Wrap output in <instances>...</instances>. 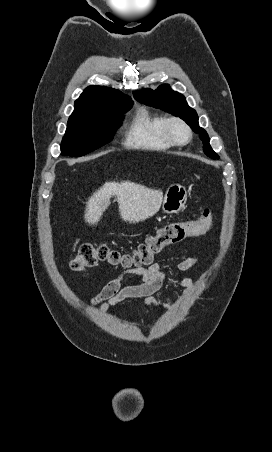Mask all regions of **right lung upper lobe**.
Wrapping results in <instances>:
<instances>
[{"instance_id":"1","label":"right lung upper lobe","mask_w":272,"mask_h":452,"mask_svg":"<svg viewBox=\"0 0 272 452\" xmlns=\"http://www.w3.org/2000/svg\"><path fill=\"white\" fill-rule=\"evenodd\" d=\"M133 104L130 97L104 86H89L75 101V110L69 120L92 117L103 110L121 104Z\"/></svg>"}]
</instances>
